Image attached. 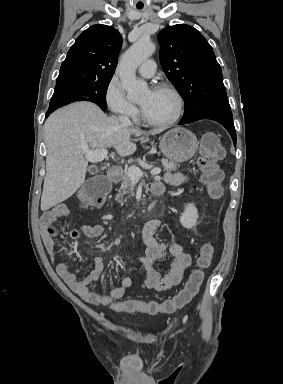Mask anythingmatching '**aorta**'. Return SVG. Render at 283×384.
<instances>
[{
  "mask_svg": "<svg viewBox=\"0 0 283 384\" xmlns=\"http://www.w3.org/2000/svg\"><path fill=\"white\" fill-rule=\"evenodd\" d=\"M155 49V45L149 39L141 38L122 55L118 71L129 99L139 98L147 91L146 82L137 80L135 71L154 53Z\"/></svg>",
  "mask_w": 283,
  "mask_h": 384,
  "instance_id": "aorta-1",
  "label": "aorta"
}]
</instances>
